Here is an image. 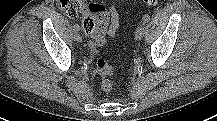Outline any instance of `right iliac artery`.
I'll use <instances>...</instances> for the list:
<instances>
[{
	"label": "right iliac artery",
	"instance_id": "obj_1",
	"mask_svg": "<svg viewBox=\"0 0 217 121\" xmlns=\"http://www.w3.org/2000/svg\"><path fill=\"white\" fill-rule=\"evenodd\" d=\"M73 30H74L75 32H78V31L80 30L79 25H78V24L73 25Z\"/></svg>",
	"mask_w": 217,
	"mask_h": 121
}]
</instances>
